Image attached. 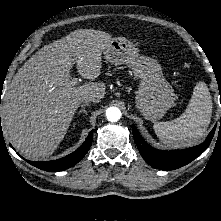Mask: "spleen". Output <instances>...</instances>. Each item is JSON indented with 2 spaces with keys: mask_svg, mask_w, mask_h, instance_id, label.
I'll return each mask as SVG.
<instances>
[{
  "mask_svg": "<svg viewBox=\"0 0 221 221\" xmlns=\"http://www.w3.org/2000/svg\"><path fill=\"white\" fill-rule=\"evenodd\" d=\"M211 115L212 100L208 87L204 82H199L194 87L185 112L172 121L154 123L153 128L165 145L187 147L205 135Z\"/></svg>",
  "mask_w": 221,
  "mask_h": 221,
  "instance_id": "1",
  "label": "spleen"
}]
</instances>
